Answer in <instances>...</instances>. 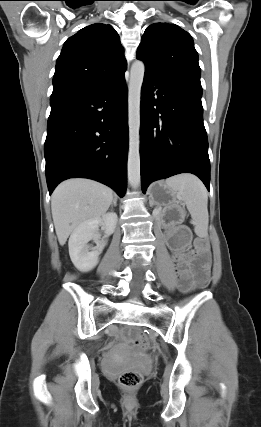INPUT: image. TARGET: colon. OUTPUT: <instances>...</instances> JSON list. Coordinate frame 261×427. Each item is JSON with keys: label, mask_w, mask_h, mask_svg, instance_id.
Wrapping results in <instances>:
<instances>
[{"label": "colon", "mask_w": 261, "mask_h": 427, "mask_svg": "<svg viewBox=\"0 0 261 427\" xmlns=\"http://www.w3.org/2000/svg\"><path fill=\"white\" fill-rule=\"evenodd\" d=\"M135 345L141 350L146 351L149 348L148 339L143 335H135L133 337ZM119 385L126 390H135L143 382V375L136 371H127L122 373L118 379Z\"/></svg>", "instance_id": "1"}]
</instances>
